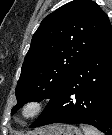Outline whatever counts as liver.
<instances>
[{"label":"liver","mask_w":112,"mask_h":135,"mask_svg":"<svg viewBox=\"0 0 112 135\" xmlns=\"http://www.w3.org/2000/svg\"><path fill=\"white\" fill-rule=\"evenodd\" d=\"M37 134H39V135L43 134V130L37 132Z\"/></svg>","instance_id":"obj_1"}]
</instances>
